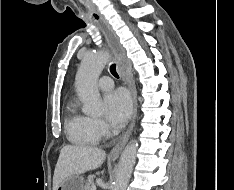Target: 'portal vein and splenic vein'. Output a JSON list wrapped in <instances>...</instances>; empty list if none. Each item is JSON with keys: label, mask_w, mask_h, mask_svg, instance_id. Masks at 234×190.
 I'll return each instance as SVG.
<instances>
[{"label": "portal vein and splenic vein", "mask_w": 234, "mask_h": 190, "mask_svg": "<svg viewBox=\"0 0 234 190\" xmlns=\"http://www.w3.org/2000/svg\"><path fill=\"white\" fill-rule=\"evenodd\" d=\"M91 190H96V186L93 185V186L91 187Z\"/></svg>", "instance_id": "obj_1"}]
</instances>
